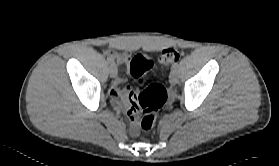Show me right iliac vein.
Wrapping results in <instances>:
<instances>
[{"instance_id":"1","label":"right iliac vein","mask_w":279,"mask_h":166,"mask_svg":"<svg viewBox=\"0 0 279 166\" xmlns=\"http://www.w3.org/2000/svg\"><path fill=\"white\" fill-rule=\"evenodd\" d=\"M118 70L115 65H111L109 68V74L112 78H115L117 76Z\"/></svg>"}]
</instances>
